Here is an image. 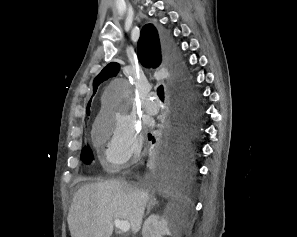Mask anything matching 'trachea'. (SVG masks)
Instances as JSON below:
<instances>
[{
    "label": "trachea",
    "mask_w": 297,
    "mask_h": 237,
    "mask_svg": "<svg viewBox=\"0 0 297 237\" xmlns=\"http://www.w3.org/2000/svg\"><path fill=\"white\" fill-rule=\"evenodd\" d=\"M157 95L159 96V98L161 100L164 99V88H163V85H160L158 88H157Z\"/></svg>",
    "instance_id": "3493384b"
}]
</instances>
